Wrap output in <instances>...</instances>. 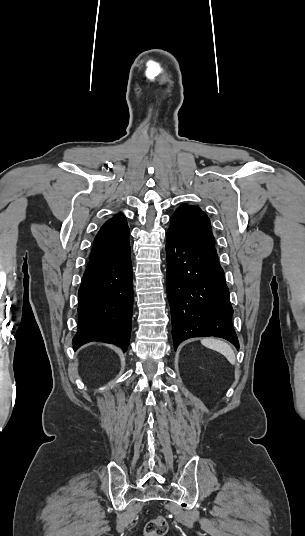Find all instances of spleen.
Listing matches in <instances>:
<instances>
[{
  "label": "spleen",
  "instance_id": "obj_1",
  "mask_svg": "<svg viewBox=\"0 0 305 536\" xmlns=\"http://www.w3.org/2000/svg\"><path fill=\"white\" fill-rule=\"evenodd\" d=\"M201 344H203V346H206V348H210V350H216V352H220V354H223V356L227 358L230 364H235V354L231 346H228V344H225V342H221V340H215V338H203V340H201Z\"/></svg>",
  "mask_w": 305,
  "mask_h": 536
}]
</instances>
